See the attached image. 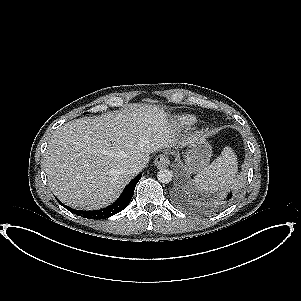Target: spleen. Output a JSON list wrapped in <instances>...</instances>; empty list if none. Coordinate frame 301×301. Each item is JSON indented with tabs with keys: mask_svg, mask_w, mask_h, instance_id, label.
<instances>
[{
	"mask_svg": "<svg viewBox=\"0 0 301 301\" xmlns=\"http://www.w3.org/2000/svg\"><path fill=\"white\" fill-rule=\"evenodd\" d=\"M237 172V157L230 147H225L220 156L195 176L193 184L200 191H217L228 187Z\"/></svg>",
	"mask_w": 301,
	"mask_h": 301,
	"instance_id": "obj_1",
	"label": "spleen"
}]
</instances>
